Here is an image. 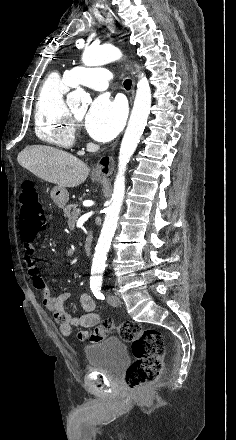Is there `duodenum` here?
<instances>
[{"instance_id":"obj_1","label":"duodenum","mask_w":236,"mask_h":440,"mask_svg":"<svg viewBox=\"0 0 236 440\" xmlns=\"http://www.w3.org/2000/svg\"><path fill=\"white\" fill-rule=\"evenodd\" d=\"M92 242H93V235L91 232H89L86 235L85 241H84V251H85L86 255L90 254V252L92 250Z\"/></svg>"}]
</instances>
